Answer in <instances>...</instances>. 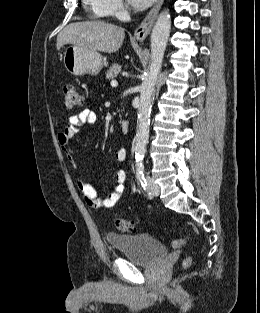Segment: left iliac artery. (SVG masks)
<instances>
[{
	"label": "left iliac artery",
	"mask_w": 260,
	"mask_h": 313,
	"mask_svg": "<svg viewBox=\"0 0 260 313\" xmlns=\"http://www.w3.org/2000/svg\"><path fill=\"white\" fill-rule=\"evenodd\" d=\"M136 176L138 181L140 182L141 186L144 190L147 188V181L144 177V165L143 164H137L136 166Z\"/></svg>",
	"instance_id": "44dca946"
}]
</instances>
